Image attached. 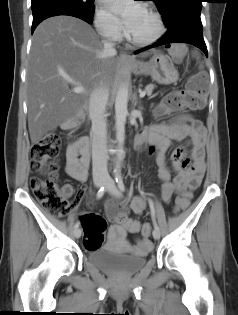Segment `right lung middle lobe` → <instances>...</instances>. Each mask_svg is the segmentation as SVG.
Listing matches in <instances>:
<instances>
[{"label": "right lung middle lobe", "instance_id": "right-lung-middle-lobe-1", "mask_svg": "<svg viewBox=\"0 0 238 315\" xmlns=\"http://www.w3.org/2000/svg\"><path fill=\"white\" fill-rule=\"evenodd\" d=\"M58 1L80 7L87 11H94V0H31V5L39 2Z\"/></svg>", "mask_w": 238, "mask_h": 315}]
</instances>
